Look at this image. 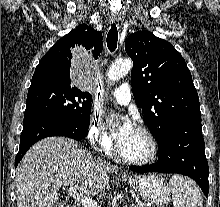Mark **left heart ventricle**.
I'll return each mask as SVG.
<instances>
[{
    "label": "left heart ventricle",
    "mask_w": 220,
    "mask_h": 207,
    "mask_svg": "<svg viewBox=\"0 0 220 207\" xmlns=\"http://www.w3.org/2000/svg\"><path fill=\"white\" fill-rule=\"evenodd\" d=\"M118 143L122 154L131 159H143L148 156L151 149L147 137L135 128Z\"/></svg>",
    "instance_id": "b2bd125f"
}]
</instances>
